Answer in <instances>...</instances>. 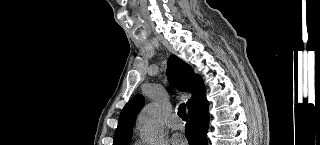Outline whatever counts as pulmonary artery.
Instances as JSON below:
<instances>
[{"instance_id": "pulmonary-artery-1", "label": "pulmonary artery", "mask_w": 320, "mask_h": 145, "mask_svg": "<svg viewBox=\"0 0 320 145\" xmlns=\"http://www.w3.org/2000/svg\"><path fill=\"white\" fill-rule=\"evenodd\" d=\"M168 127L171 129H180L182 127V123L177 115H172L167 121Z\"/></svg>"}]
</instances>
